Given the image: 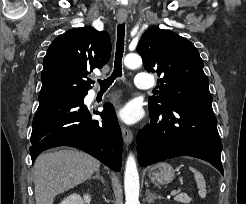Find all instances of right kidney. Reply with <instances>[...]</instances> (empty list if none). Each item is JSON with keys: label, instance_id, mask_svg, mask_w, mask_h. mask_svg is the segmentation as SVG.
<instances>
[{"label": "right kidney", "instance_id": "obj_1", "mask_svg": "<svg viewBox=\"0 0 246 204\" xmlns=\"http://www.w3.org/2000/svg\"><path fill=\"white\" fill-rule=\"evenodd\" d=\"M91 201V196L84 194L83 197L74 193L64 198L60 204H85Z\"/></svg>", "mask_w": 246, "mask_h": 204}]
</instances>
